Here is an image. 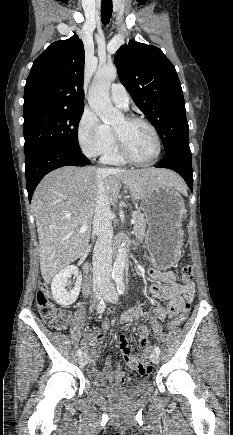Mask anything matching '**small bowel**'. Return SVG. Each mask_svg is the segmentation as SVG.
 <instances>
[{"label":"small bowel","mask_w":233,"mask_h":435,"mask_svg":"<svg viewBox=\"0 0 233 435\" xmlns=\"http://www.w3.org/2000/svg\"><path fill=\"white\" fill-rule=\"evenodd\" d=\"M149 278L152 283L149 284L148 290L151 296L155 299L161 300L162 304L154 308V314L157 319L163 320L166 318L174 319L181 305L185 301L190 303L194 296V286H182L176 282L177 274L173 271H160L158 269L148 268ZM158 282V283H156ZM141 312L138 309H133L127 313L119 316V321L122 324H129L132 320L140 317ZM114 316H117L114 314ZM111 328V322L107 319L102 321V332L95 330H88L86 337L83 341L84 349L89 353V375L92 380L97 384H103L104 382H121L123 380H131L130 377L125 378L123 372V366L118 364L117 369H113L111 365V355H108L104 362V371L100 372L96 367V361L99 357L100 345L104 341L105 332ZM138 335L140 346L143 349V353L136 358L131 353V345L125 336L119 337L120 350L124 356L125 363L131 370L138 371V364L140 360L143 361L148 356V337L149 329L146 326L138 327ZM94 339V342H92ZM149 371L138 373L140 379H145Z\"/></svg>","instance_id":"1"}]
</instances>
